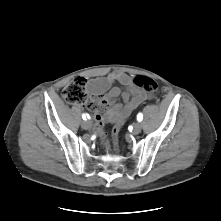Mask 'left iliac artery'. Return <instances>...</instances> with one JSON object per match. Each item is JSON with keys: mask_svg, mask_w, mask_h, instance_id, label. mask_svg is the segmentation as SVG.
<instances>
[{"mask_svg": "<svg viewBox=\"0 0 221 221\" xmlns=\"http://www.w3.org/2000/svg\"><path fill=\"white\" fill-rule=\"evenodd\" d=\"M142 119H143V115H142V113H139L137 115V120L140 122V121H142Z\"/></svg>", "mask_w": 221, "mask_h": 221, "instance_id": "left-iliac-artery-1", "label": "left iliac artery"}]
</instances>
